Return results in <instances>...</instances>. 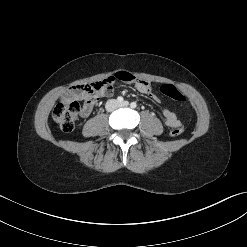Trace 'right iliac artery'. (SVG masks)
I'll return each mask as SVG.
<instances>
[{
    "label": "right iliac artery",
    "instance_id": "obj_1",
    "mask_svg": "<svg viewBox=\"0 0 247 247\" xmlns=\"http://www.w3.org/2000/svg\"><path fill=\"white\" fill-rule=\"evenodd\" d=\"M117 101H118L119 103H122V102L124 101V99H123V97L119 96V97H117Z\"/></svg>",
    "mask_w": 247,
    "mask_h": 247
}]
</instances>
